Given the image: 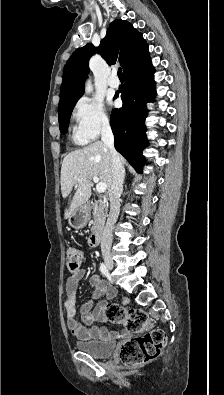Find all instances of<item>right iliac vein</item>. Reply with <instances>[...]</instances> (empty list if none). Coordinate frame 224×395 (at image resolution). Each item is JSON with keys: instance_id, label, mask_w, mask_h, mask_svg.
Segmentation results:
<instances>
[{"instance_id": "63e3f726", "label": "right iliac vein", "mask_w": 224, "mask_h": 395, "mask_svg": "<svg viewBox=\"0 0 224 395\" xmlns=\"http://www.w3.org/2000/svg\"><path fill=\"white\" fill-rule=\"evenodd\" d=\"M104 261H105V264H106L107 268L110 271H112L113 268H114V262H113L111 256L110 255H104Z\"/></svg>"}]
</instances>
